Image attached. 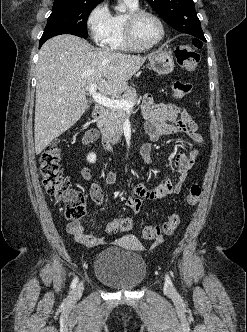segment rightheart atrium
<instances>
[{"label":"right heart atrium","mask_w":247,"mask_h":332,"mask_svg":"<svg viewBox=\"0 0 247 332\" xmlns=\"http://www.w3.org/2000/svg\"><path fill=\"white\" fill-rule=\"evenodd\" d=\"M111 23V13L105 1L98 2L88 13L86 27L91 39L100 46L105 45Z\"/></svg>","instance_id":"1"}]
</instances>
